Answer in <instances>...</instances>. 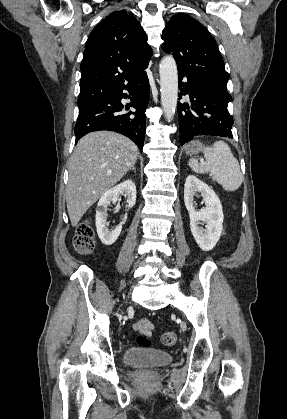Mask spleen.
Returning a JSON list of instances; mask_svg holds the SVG:
<instances>
[{
	"mask_svg": "<svg viewBox=\"0 0 287 419\" xmlns=\"http://www.w3.org/2000/svg\"><path fill=\"white\" fill-rule=\"evenodd\" d=\"M203 153L206 159L205 165L191 158L188 162L189 167L196 173L210 172L213 179L226 191L237 190L243 182V175L229 145L219 140L210 147H204Z\"/></svg>",
	"mask_w": 287,
	"mask_h": 419,
	"instance_id": "1",
	"label": "spleen"
}]
</instances>
